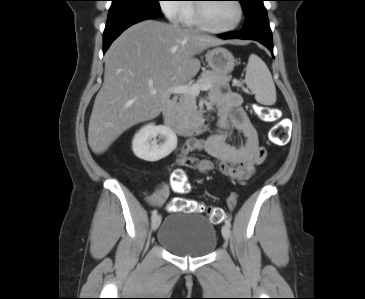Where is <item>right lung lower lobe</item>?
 <instances>
[{
    "instance_id": "1",
    "label": "right lung lower lobe",
    "mask_w": 365,
    "mask_h": 299,
    "mask_svg": "<svg viewBox=\"0 0 365 299\" xmlns=\"http://www.w3.org/2000/svg\"><path fill=\"white\" fill-rule=\"evenodd\" d=\"M163 17L158 10H130L121 14L108 16L103 33V53L111 43L128 27L143 20Z\"/></svg>"
}]
</instances>
